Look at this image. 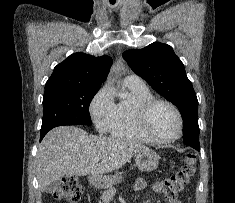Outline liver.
<instances>
[{"label":"liver","instance_id":"liver-1","mask_svg":"<svg viewBox=\"0 0 235 203\" xmlns=\"http://www.w3.org/2000/svg\"><path fill=\"white\" fill-rule=\"evenodd\" d=\"M147 149L131 140L88 134L75 126L49 131L38 147L36 176L41 191L63 176L103 175ZM101 160L95 163L94 159Z\"/></svg>","mask_w":235,"mask_h":203}]
</instances>
